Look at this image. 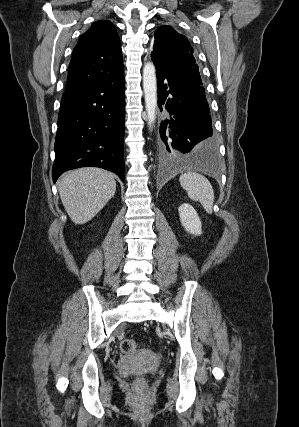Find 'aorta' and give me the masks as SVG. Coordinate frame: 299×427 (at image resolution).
<instances>
[{
    "label": "aorta",
    "mask_w": 299,
    "mask_h": 427,
    "mask_svg": "<svg viewBox=\"0 0 299 427\" xmlns=\"http://www.w3.org/2000/svg\"><path fill=\"white\" fill-rule=\"evenodd\" d=\"M143 90L148 116V125L149 128L152 129V125L156 120L157 79L155 66L150 62L146 63L143 68Z\"/></svg>",
    "instance_id": "762f6f07"
}]
</instances>
